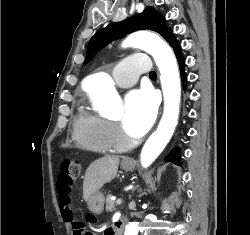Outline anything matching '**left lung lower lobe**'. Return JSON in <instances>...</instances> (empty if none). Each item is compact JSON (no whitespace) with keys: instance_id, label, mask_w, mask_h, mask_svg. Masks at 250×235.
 <instances>
[{"instance_id":"obj_1","label":"left lung lower lobe","mask_w":250,"mask_h":235,"mask_svg":"<svg viewBox=\"0 0 250 235\" xmlns=\"http://www.w3.org/2000/svg\"><path fill=\"white\" fill-rule=\"evenodd\" d=\"M169 44L173 48V50L175 52V55L177 57L179 67H180V72H181V79H182V82H183V86L185 87L186 75H185V72H184V58H183L182 53H181V47H180L179 43L176 41L175 38H173L169 42ZM165 160L166 161H172L173 163L180 165L179 149L178 148L173 149L171 151V153L166 157Z\"/></svg>"}]
</instances>
